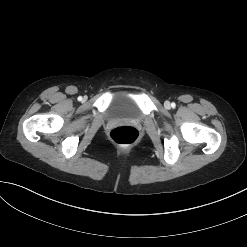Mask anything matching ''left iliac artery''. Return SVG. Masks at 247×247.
I'll list each match as a JSON object with an SVG mask.
<instances>
[{
	"instance_id": "1",
	"label": "left iliac artery",
	"mask_w": 247,
	"mask_h": 247,
	"mask_svg": "<svg viewBox=\"0 0 247 247\" xmlns=\"http://www.w3.org/2000/svg\"><path fill=\"white\" fill-rule=\"evenodd\" d=\"M171 106L174 108L175 107V103H172Z\"/></svg>"
}]
</instances>
